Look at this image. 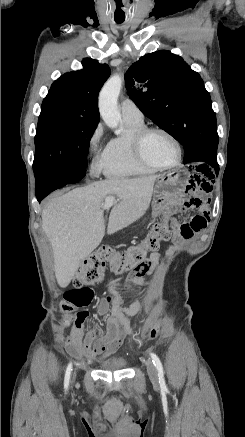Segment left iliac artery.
I'll return each instance as SVG.
<instances>
[{"instance_id": "1", "label": "left iliac artery", "mask_w": 245, "mask_h": 437, "mask_svg": "<svg viewBox=\"0 0 245 437\" xmlns=\"http://www.w3.org/2000/svg\"><path fill=\"white\" fill-rule=\"evenodd\" d=\"M150 356H151L152 362L155 365V367L157 369V372H158V378H159L160 387L162 389H166V383H165V379H164V372H163L162 363H161L159 357L156 354L151 353Z\"/></svg>"}]
</instances>
